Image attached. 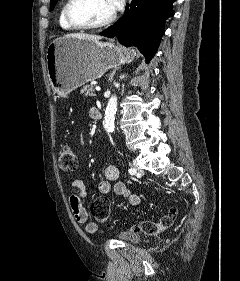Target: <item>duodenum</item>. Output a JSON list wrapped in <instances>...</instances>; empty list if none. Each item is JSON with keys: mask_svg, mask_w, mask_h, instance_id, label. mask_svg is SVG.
<instances>
[{"mask_svg": "<svg viewBox=\"0 0 240 281\" xmlns=\"http://www.w3.org/2000/svg\"><path fill=\"white\" fill-rule=\"evenodd\" d=\"M101 118H102L101 112L98 109H96L95 110V119H101Z\"/></svg>", "mask_w": 240, "mask_h": 281, "instance_id": "duodenum-1", "label": "duodenum"}]
</instances>
